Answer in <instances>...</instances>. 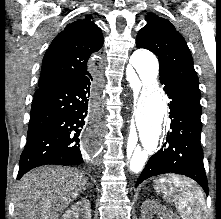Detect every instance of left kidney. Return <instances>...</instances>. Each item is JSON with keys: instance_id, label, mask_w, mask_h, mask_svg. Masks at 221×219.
<instances>
[{"instance_id": "1", "label": "left kidney", "mask_w": 221, "mask_h": 219, "mask_svg": "<svg viewBox=\"0 0 221 219\" xmlns=\"http://www.w3.org/2000/svg\"><path fill=\"white\" fill-rule=\"evenodd\" d=\"M157 214L160 219H179L172 211L152 200H146L142 204L141 219H151Z\"/></svg>"}]
</instances>
